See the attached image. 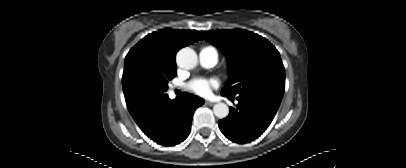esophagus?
Here are the masks:
<instances>
[{
	"label": "esophagus",
	"mask_w": 406,
	"mask_h": 168,
	"mask_svg": "<svg viewBox=\"0 0 406 168\" xmlns=\"http://www.w3.org/2000/svg\"><path fill=\"white\" fill-rule=\"evenodd\" d=\"M205 104H206V105H209V106H213V105H214V102H212V101H205Z\"/></svg>",
	"instance_id": "esophagus-1"
}]
</instances>
